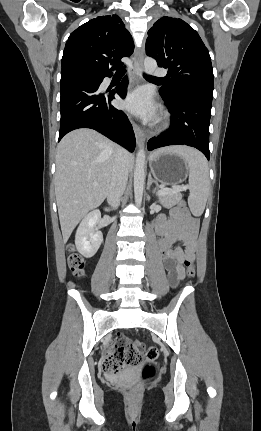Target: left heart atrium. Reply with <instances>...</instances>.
Returning a JSON list of instances; mask_svg holds the SVG:
<instances>
[{"label": "left heart atrium", "instance_id": "1", "mask_svg": "<svg viewBox=\"0 0 261 431\" xmlns=\"http://www.w3.org/2000/svg\"><path fill=\"white\" fill-rule=\"evenodd\" d=\"M124 107L142 116H153L155 113V106L145 89H137L130 93L124 101Z\"/></svg>", "mask_w": 261, "mask_h": 431}]
</instances>
